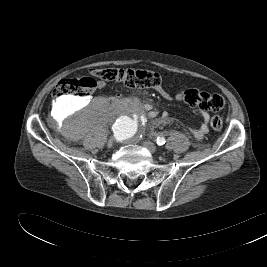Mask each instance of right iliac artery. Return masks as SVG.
<instances>
[{"label": "right iliac artery", "mask_w": 267, "mask_h": 267, "mask_svg": "<svg viewBox=\"0 0 267 267\" xmlns=\"http://www.w3.org/2000/svg\"><path fill=\"white\" fill-rule=\"evenodd\" d=\"M122 126H119L118 124L113 128V131H115V137L116 139H122L123 136V129Z\"/></svg>", "instance_id": "1"}]
</instances>
